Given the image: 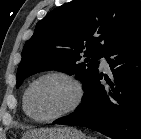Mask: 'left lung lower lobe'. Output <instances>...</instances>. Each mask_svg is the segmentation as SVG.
<instances>
[{
	"label": "left lung lower lobe",
	"mask_w": 141,
	"mask_h": 139,
	"mask_svg": "<svg viewBox=\"0 0 141 139\" xmlns=\"http://www.w3.org/2000/svg\"><path fill=\"white\" fill-rule=\"evenodd\" d=\"M113 78L97 72L82 103L56 124L83 126L114 139H141V26L114 43L104 55Z\"/></svg>",
	"instance_id": "obj_1"
}]
</instances>
